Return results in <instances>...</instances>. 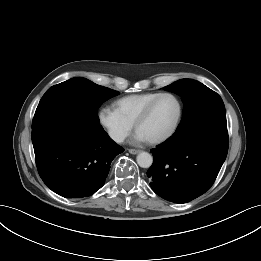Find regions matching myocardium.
I'll return each mask as SVG.
<instances>
[{"label": "myocardium", "instance_id": "myocardium-1", "mask_svg": "<svg viewBox=\"0 0 261 261\" xmlns=\"http://www.w3.org/2000/svg\"><path fill=\"white\" fill-rule=\"evenodd\" d=\"M163 97L173 98L175 100V102L177 103L178 111H177V116H176L172 126L166 133H164L163 135H161L157 138L148 140V142L150 144H154V145L167 141L174 135V133L178 129V126H179L181 118H182V113H183L182 103L179 100V98L175 94L170 93V92H163V93L158 94L144 107V109L140 112V114L137 116V118L134 122V128H135V130H137L139 125L148 118V116L150 115L155 104Z\"/></svg>", "mask_w": 261, "mask_h": 261}]
</instances>
